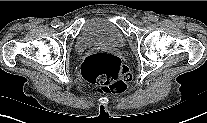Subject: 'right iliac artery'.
Masks as SVG:
<instances>
[{"label": "right iliac artery", "mask_w": 207, "mask_h": 123, "mask_svg": "<svg viewBox=\"0 0 207 123\" xmlns=\"http://www.w3.org/2000/svg\"><path fill=\"white\" fill-rule=\"evenodd\" d=\"M51 26H52L53 28H57V27L59 26V22H58L57 20H53V21L51 22Z\"/></svg>", "instance_id": "right-iliac-artery-1"}]
</instances>
